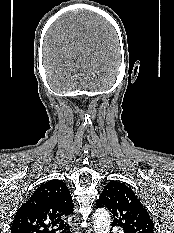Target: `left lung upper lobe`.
<instances>
[{
    "label": "left lung upper lobe",
    "instance_id": "5c2ea615",
    "mask_svg": "<svg viewBox=\"0 0 174 233\" xmlns=\"http://www.w3.org/2000/svg\"><path fill=\"white\" fill-rule=\"evenodd\" d=\"M96 206L106 207L113 215V226L122 227L124 233H153L154 224L146 208L134 192L124 183L109 182Z\"/></svg>",
    "mask_w": 174,
    "mask_h": 233
}]
</instances>
